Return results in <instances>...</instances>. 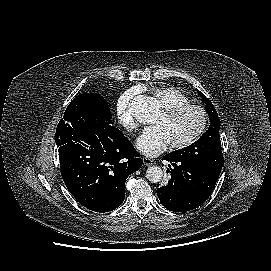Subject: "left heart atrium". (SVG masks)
Listing matches in <instances>:
<instances>
[{"instance_id": "obj_1", "label": "left heart atrium", "mask_w": 271, "mask_h": 271, "mask_svg": "<svg viewBox=\"0 0 271 271\" xmlns=\"http://www.w3.org/2000/svg\"><path fill=\"white\" fill-rule=\"evenodd\" d=\"M170 144L169 138L160 125L145 128L136 140V148L146 156H157Z\"/></svg>"}]
</instances>
